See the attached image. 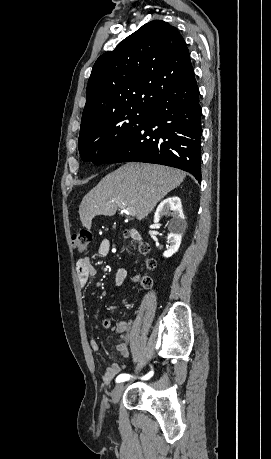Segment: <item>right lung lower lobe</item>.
Returning <instances> with one entry per match:
<instances>
[{"label": "right lung lower lobe", "mask_w": 271, "mask_h": 459, "mask_svg": "<svg viewBox=\"0 0 271 459\" xmlns=\"http://www.w3.org/2000/svg\"><path fill=\"white\" fill-rule=\"evenodd\" d=\"M202 108L195 76L155 99L149 116L107 163L147 162L191 173L201 182Z\"/></svg>", "instance_id": "obj_1"}]
</instances>
